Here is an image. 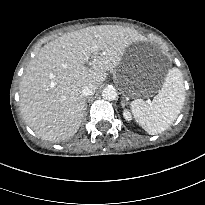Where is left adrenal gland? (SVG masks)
<instances>
[{"instance_id":"1","label":"left adrenal gland","mask_w":205,"mask_h":205,"mask_svg":"<svg viewBox=\"0 0 205 205\" xmlns=\"http://www.w3.org/2000/svg\"><path fill=\"white\" fill-rule=\"evenodd\" d=\"M125 104H126V101L124 100V98H122V100H121V105H122V107H124Z\"/></svg>"}]
</instances>
